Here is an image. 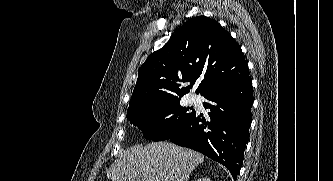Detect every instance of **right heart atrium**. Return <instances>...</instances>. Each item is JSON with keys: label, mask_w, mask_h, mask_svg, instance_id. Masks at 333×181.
I'll use <instances>...</instances> for the list:
<instances>
[{"label": "right heart atrium", "mask_w": 333, "mask_h": 181, "mask_svg": "<svg viewBox=\"0 0 333 181\" xmlns=\"http://www.w3.org/2000/svg\"><path fill=\"white\" fill-rule=\"evenodd\" d=\"M165 115V109L164 108H158L155 113V117L158 119L163 118Z\"/></svg>", "instance_id": "d8ad5b80"}]
</instances>
